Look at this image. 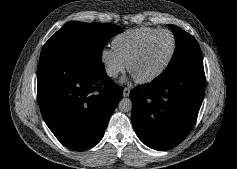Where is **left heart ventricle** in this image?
<instances>
[{
	"label": "left heart ventricle",
	"mask_w": 237,
	"mask_h": 169,
	"mask_svg": "<svg viewBox=\"0 0 237 169\" xmlns=\"http://www.w3.org/2000/svg\"><path fill=\"white\" fill-rule=\"evenodd\" d=\"M172 48L171 36L162 33L145 48L142 55L131 65V73L136 78L146 77L158 70L168 58Z\"/></svg>",
	"instance_id": "obj_1"
}]
</instances>
